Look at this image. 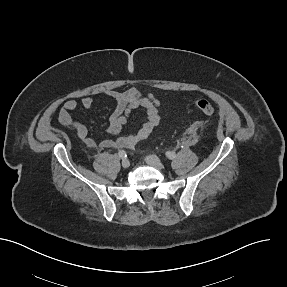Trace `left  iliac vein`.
Listing matches in <instances>:
<instances>
[{"label": "left iliac vein", "mask_w": 287, "mask_h": 287, "mask_svg": "<svg viewBox=\"0 0 287 287\" xmlns=\"http://www.w3.org/2000/svg\"><path fill=\"white\" fill-rule=\"evenodd\" d=\"M145 161L147 164H149L155 168H158V169H162L164 167L163 162L157 156H154V155L147 156L145 158Z\"/></svg>", "instance_id": "left-iliac-vein-1"}]
</instances>
